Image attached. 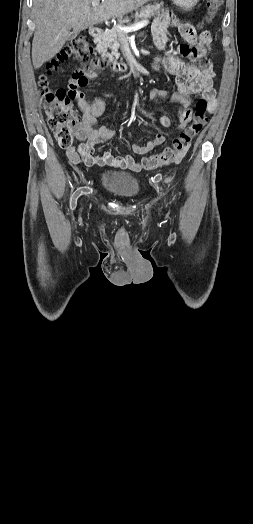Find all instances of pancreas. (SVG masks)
Returning <instances> with one entry per match:
<instances>
[{
    "label": "pancreas",
    "instance_id": "1",
    "mask_svg": "<svg viewBox=\"0 0 253 524\" xmlns=\"http://www.w3.org/2000/svg\"><path fill=\"white\" fill-rule=\"evenodd\" d=\"M153 16H158L160 18L164 19H170V12L168 8H164L163 3H154V4H148L145 7H142L136 14L135 19H148ZM130 20L124 19L119 23L118 26H123L124 23H128ZM127 34L124 31H121L118 29V27H113L112 29L106 31L102 37L98 40L96 50L101 53L104 57H110L112 58V55H110L107 50L111 49H117L119 48L120 44L118 41L122 37H125Z\"/></svg>",
    "mask_w": 253,
    "mask_h": 524
}]
</instances>
